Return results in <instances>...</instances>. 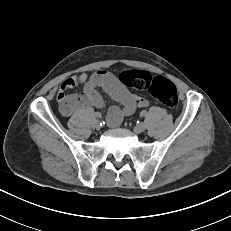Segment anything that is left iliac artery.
<instances>
[{"label":"left iliac artery","mask_w":231,"mask_h":231,"mask_svg":"<svg viewBox=\"0 0 231 231\" xmlns=\"http://www.w3.org/2000/svg\"><path fill=\"white\" fill-rule=\"evenodd\" d=\"M146 114H147V112L145 111V110H143L142 112H141V116H146Z\"/></svg>","instance_id":"44dca946"}]
</instances>
